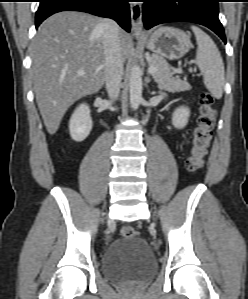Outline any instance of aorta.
I'll return each mask as SVG.
<instances>
[{"mask_svg": "<svg viewBox=\"0 0 248 299\" xmlns=\"http://www.w3.org/2000/svg\"><path fill=\"white\" fill-rule=\"evenodd\" d=\"M141 69L136 63L131 67V74L129 80L130 90V104L131 107L136 110L138 109L142 101V77Z\"/></svg>", "mask_w": 248, "mask_h": 299, "instance_id": "1", "label": "aorta"}]
</instances>
